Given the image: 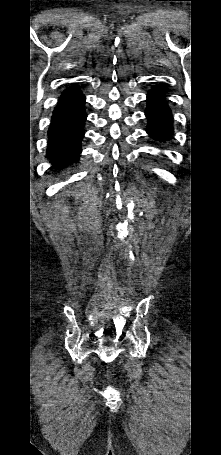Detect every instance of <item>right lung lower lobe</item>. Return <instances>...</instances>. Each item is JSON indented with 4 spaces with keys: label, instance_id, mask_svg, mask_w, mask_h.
Masks as SVG:
<instances>
[{
    "label": "right lung lower lobe",
    "instance_id": "98d812e1",
    "mask_svg": "<svg viewBox=\"0 0 221 455\" xmlns=\"http://www.w3.org/2000/svg\"><path fill=\"white\" fill-rule=\"evenodd\" d=\"M85 96L78 86L66 88L53 110L48 129L46 157L53 168L63 170L79 159L85 134Z\"/></svg>",
    "mask_w": 221,
    "mask_h": 455
}]
</instances>
